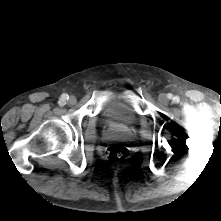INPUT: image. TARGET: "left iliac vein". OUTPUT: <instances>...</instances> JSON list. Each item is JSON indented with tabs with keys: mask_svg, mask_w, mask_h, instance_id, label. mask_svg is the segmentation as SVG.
I'll return each instance as SVG.
<instances>
[{
	"mask_svg": "<svg viewBox=\"0 0 221 221\" xmlns=\"http://www.w3.org/2000/svg\"><path fill=\"white\" fill-rule=\"evenodd\" d=\"M158 100H159V102H160L161 104H164V105L167 104L168 101H169L167 95L164 94V93H161V94L158 96Z\"/></svg>",
	"mask_w": 221,
	"mask_h": 221,
	"instance_id": "1",
	"label": "left iliac vein"
}]
</instances>
